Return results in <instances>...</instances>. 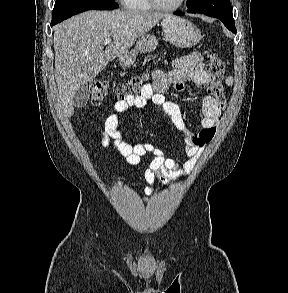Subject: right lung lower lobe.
<instances>
[{
	"mask_svg": "<svg viewBox=\"0 0 288 293\" xmlns=\"http://www.w3.org/2000/svg\"><path fill=\"white\" fill-rule=\"evenodd\" d=\"M55 24H57V23H51V26H53V25H55Z\"/></svg>",
	"mask_w": 288,
	"mask_h": 293,
	"instance_id": "right-lung-lower-lobe-1",
	"label": "right lung lower lobe"
}]
</instances>
